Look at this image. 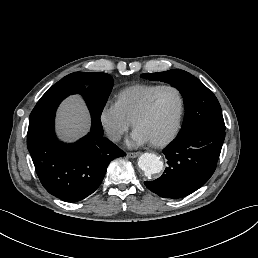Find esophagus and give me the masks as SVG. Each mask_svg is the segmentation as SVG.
Wrapping results in <instances>:
<instances>
[{
	"mask_svg": "<svg viewBox=\"0 0 258 258\" xmlns=\"http://www.w3.org/2000/svg\"><path fill=\"white\" fill-rule=\"evenodd\" d=\"M139 155H141V152H128V153H127V156H128L129 158H136V157H138Z\"/></svg>",
	"mask_w": 258,
	"mask_h": 258,
	"instance_id": "34e87169",
	"label": "esophagus"
}]
</instances>
